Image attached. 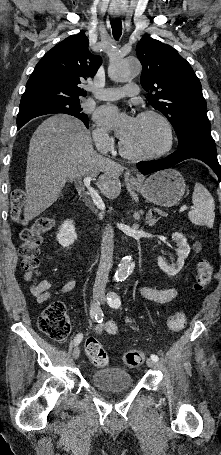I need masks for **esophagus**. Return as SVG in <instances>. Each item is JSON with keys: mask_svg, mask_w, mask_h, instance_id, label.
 <instances>
[{"mask_svg": "<svg viewBox=\"0 0 221 455\" xmlns=\"http://www.w3.org/2000/svg\"><path fill=\"white\" fill-rule=\"evenodd\" d=\"M128 181L131 182V183H136L137 182V178H135L134 176H130V177H128Z\"/></svg>", "mask_w": 221, "mask_h": 455, "instance_id": "1", "label": "esophagus"}]
</instances>
